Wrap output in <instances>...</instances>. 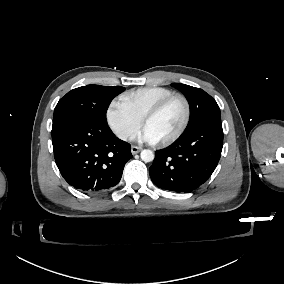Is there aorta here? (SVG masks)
I'll return each instance as SVG.
<instances>
[{"label":"aorta","mask_w":284,"mask_h":284,"mask_svg":"<svg viewBox=\"0 0 284 284\" xmlns=\"http://www.w3.org/2000/svg\"><path fill=\"white\" fill-rule=\"evenodd\" d=\"M140 156H141L142 161L144 162H151L154 160V157H155L154 153L149 149L142 150Z\"/></svg>","instance_id":"obj_1"}]
</instances>
